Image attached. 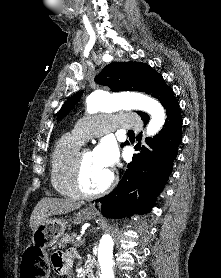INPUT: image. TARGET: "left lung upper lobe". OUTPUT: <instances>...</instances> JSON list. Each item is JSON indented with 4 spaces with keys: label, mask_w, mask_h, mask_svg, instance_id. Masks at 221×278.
<instances>
[{
    "label": "left lung upper lobe",
    "mask_w": 221,
    "mask_h": 278,
    "mask_svg": "<svg viewBox=\"0 0 221 278\" xmlns=\"http://www.w3.org/2000/svg\"><path fill=\"white\" fill-rule=\"evenodd\" d=\"M95 81L112 91H141L156 97L165 109L176 99L172 88L166 85L162 75L149 65L139 62H114L103 68ZM83 92L77 93L62 106L57 120H61L73 109ZM142 120L149 119L144 112H138ZM125 142L121 144L124 146Z\"/></svg>",
    "instance_id": "left-lung-upper-lobe-1"
}]
</instances>
